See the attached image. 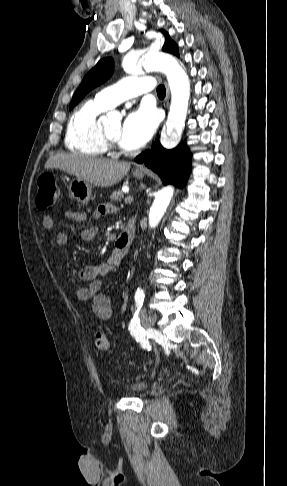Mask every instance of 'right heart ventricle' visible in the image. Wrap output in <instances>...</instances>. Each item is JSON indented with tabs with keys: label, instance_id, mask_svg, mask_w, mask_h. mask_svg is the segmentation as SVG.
<instances>
[{
	"label": "right heart ventricle",
	"instance_id": "1",
	"mask_svg": "<svg viewBox=\"0 0 287 486\" xmlns=\"http://www.w3.org/2000/svg\"><path fill=\"white\" fill-rule=\"evenodd\" d=\"M107 109L96 99H91L73 112L65 135V144L70 151L92 157H101L108 152L98 123L99 116Z\"/></svg>",
	"mask_w": 287,
	"mask_h": 486
}]
</instances>
